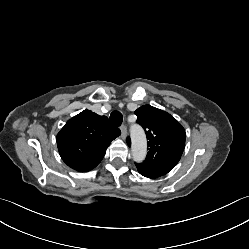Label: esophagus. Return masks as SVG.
<instances>
[{"mask_svg":"<svg viewBox=\"0 0 249 249\" xmlns=\"http://www.w3.org/2000/svg\"><path fill=\"white\" fill-rule=\"evenodd\" d=\"M120 130H121V136H122V138L125 139L126 136H127V128H126V126H125V125H122V126L120 127Z\"/></svg>","mask_w":249,"mask_h":249,"instance_id":"1","label":"esophagus"}]
</instances>
